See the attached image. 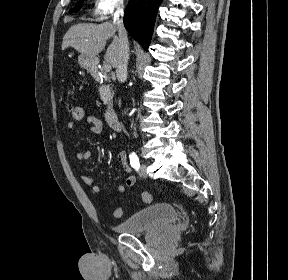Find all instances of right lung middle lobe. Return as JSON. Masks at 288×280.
I'll use <instances>...</instances> for the list:
<instances>
[{
    "label": "right lung middle lobe",
    "mask_w": 288,
    "mask_h": 280,
    "mask_svg": "<svg viewBox=\"0 0 288 280\" xmlns=\"http://www.w3.org/2000/svg\"><path fill=\"white\" fill-rule=\"evenodd\" d=\"M82 4H83V0H80L79 3H78V5L75 6L73 9L70 10V13H72V12H77V11L81 8Z\"/></svg>",
    "instance_id": "1"
}]
</instances>
